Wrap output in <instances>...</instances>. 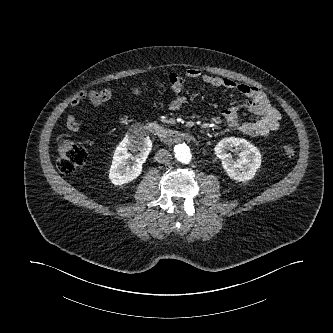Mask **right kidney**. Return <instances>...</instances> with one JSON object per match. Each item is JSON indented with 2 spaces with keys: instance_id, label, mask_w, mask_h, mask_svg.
<instances>
[{
  "instance_id": "ca27d5eb",
  "label": "right kidney",
  "mask_w": 333,
  "mask_h": 333,
  "mask_svg": "<svg viewBox=\"0 0 333 333\" xmlns=\"http://www.w3.org/2000/svg\"><path fill=\"white\" fill-rule=\"evenodd\" d=\"M152 148V141L143 134L130 135L123 139L114 152L111 168L109 170L110 181L118 186L135 180L142 172V165L146 161ZM137 149L138 153L131 158L129 150ZM132 161H129V159Z\"/></svg>"
}]
</instances>
